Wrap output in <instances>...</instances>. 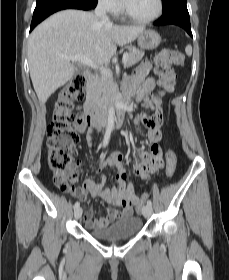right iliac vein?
Returning a JSON list of instances; mask_svg holds the SVG:
<instances>
[{"label": "right iliac vein", "mask_w": 229, "mask_h": 280, "mask_svg": "<svg viewBox=\"0 0 229 280\" xmlns=\"http://www.w3.org/2000/svg\"><path fill=\"white\" fill-rule=\"evenodd\" d=\"M81 216H82V208L81 207L75 208L74 217L76 219H79Z\"/></svg>", "instance_id": "right-iliac-vein-1"}]
</instances>
